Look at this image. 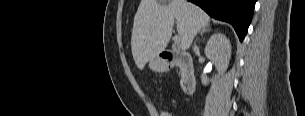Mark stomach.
<instances>
[{"label": "stomach", "mask_w": 305, "mask_h": 116, "mask_svg": "<svg viewBox=\"0 0 305 116\" xmlns=\"http://www.w3.org/2000/svg\"><path fill=\"white\" fill-rule=\"evenodd\" d=\"M149 67L155 72H164L167 70V64L159 56L149 61Z\"/></svg>", "instance_id": "0dacf381"}]
</instances>
